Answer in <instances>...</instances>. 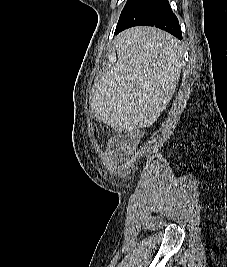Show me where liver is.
Masks as SVG:
<instances>
[{
  "label": "liver",
  "instance_id": "obj_1",
  "mask_svg": "<svg viewBox=\"0 0 227 267\" xmlns=\"http://www.w3.org/2000/svg\"><path fill=\"white\" fill-rule=\"evenodd\" d=\"M115 48V66L94 83L92 112L118 132L151 126L179 82L180 43L162 30L134 27L117 36Z\"/></svg>",
  "mask_w": 227,
  "mask_h": 267
}]
</instances>
